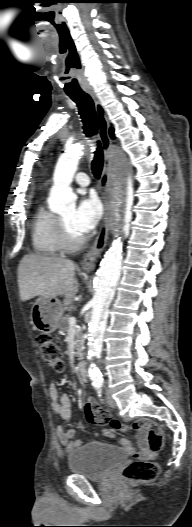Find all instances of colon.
<instances>
[{"label":"colon","mask_w":192,"mask_h":527,"mask_svg":"<svg viewBox=\"0 0 192 527\" xmlns=\"http://www.w3.org/2000/svg\"><path fill=\"white\" fill-rule=\"evenodd\" d=\"M36 344L44 361L54 370L64 369V358L61 349L56 342L47 334H39ZM85 415L89 423L98 426H110L113 429L122 430L124 426L113 419L110 414L100 407L95 400L88 399L85 404ZM139 426V429H136ZM136 430L146 432L147 445L152 451H159L164 446L165 435L162 428L153 422L137 421L133 424ZM159 473V465L156 462L147 461L142 464L139 460L133 461L123 471V478L128 482H151Z\"/></svg>","instance_id":"1"}]
</instances>
